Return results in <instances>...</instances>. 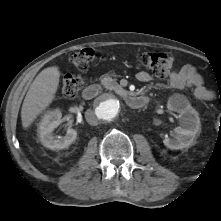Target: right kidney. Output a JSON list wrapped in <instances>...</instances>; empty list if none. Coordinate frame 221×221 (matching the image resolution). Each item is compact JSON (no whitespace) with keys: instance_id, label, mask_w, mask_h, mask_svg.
I'll return each mask as SVG.
<instances>
[{"instance_id":"ca27d5eb","label":"right kidney","mask_w":221,"mask_h":221,"mask_svg":"<svg viewBox=\"0 0 221 221\" xmlns=\"http://www.w3.org/2000/svg\"><path fill=\"white\" fill-rule=\"evenodd\" d=\"M62 114L56 109L45 114L39 123L38 134L42 145L51 150L67 148L76 137L77 132L72 128H67V133L63 137L55 138L53 131L60 124Z\"/></svg>"}]
</instances>
